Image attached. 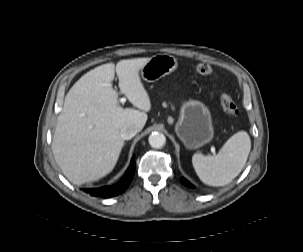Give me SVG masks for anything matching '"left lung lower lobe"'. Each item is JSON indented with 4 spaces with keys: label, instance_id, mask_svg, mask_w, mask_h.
<instances>
[{
    "label": "left lung lower lobe",
    "instance_id": "0a47b994",
    "mask_svg": "<svg viewBox=\"0 0 303 252\" xmlns=\"http://www.w3.org/2000/svg\"><path fill=\"white\" fill-rule=\"evenodd\" d=\"M181 182L186 185V186H189L190 188H194V186L192 184H190L186 179L182 178L181 179Z\"/></svg>",
    "mask_w": 303,
    "mask_h": 252
}]
</instances>
